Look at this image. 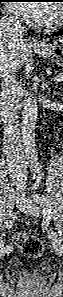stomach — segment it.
<instances>
[{
  "label": "stomach",
  "instance_id": "1",
  "mask_svg": "<svg viewBox=\"0 0 63 297\" xmlns=\"http://www.w3.org/2000/svg\"><path fill=\"white\" fill-rule=\"evenodd\" d=\"M34 52L45 59L55 62L59 66H63V39H59L43 49L34 48Z\"/></svg>",
  "mask_w": 63,
  "mask_h": 297
}]
</instances>
